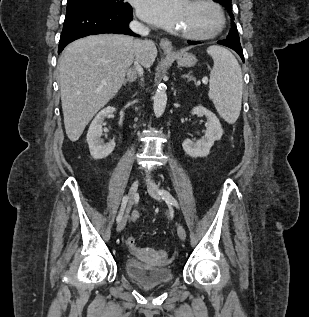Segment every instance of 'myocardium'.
I'll return each mask as SVG.
<instances>
[{
  "label": "myocardium",
  "instance_id": "1",
  "mask_svg": "<svg viewBox=\"0 0 309 317\" xmlns=\"http://www.w3.org/2000/svg\"><path fill=\"white\" fill-rule=\"evenodd\" d=\"M192 3L202 4L210 7L216 16V25L208 32H181V36L190 40H210L217 37L225 28V15L218 3L213 0H191Z\"/></svg>",
  "mask_w": 309,
  "mask_h": 317
}]
</instances>
